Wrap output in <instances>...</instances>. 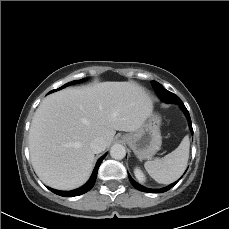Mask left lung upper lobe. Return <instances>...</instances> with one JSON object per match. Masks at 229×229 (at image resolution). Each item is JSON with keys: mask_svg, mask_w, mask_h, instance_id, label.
Segmentation results:
<instances>
[{"mask_svg": "<svg viewBox=\"0 0 229 229\" xmlns=\"http://www.w3.org/2000/svg\"><path fill=\"white\" fill-rule=\"evenodd\" d=\"M151 84L153 88L155 89V91L157 92L159 98L162 99L163 101L169 102V103H176V104H178L181 101V99L177 95L166 90L158 82L152 81Z\"/></svg>", "mask_w": 229, "mask_h": 229, "instance_id": "1", "label": "left lung upper lobe"}]
</instances>
